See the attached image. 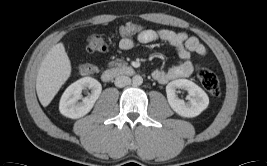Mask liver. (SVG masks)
<instances>
[{
	"instance_id": "obj_1",
	"label": "liver",
	"mask_w": 267,
	"mask_h": 166,
	"mask_svg": "<svg viewBox=\"0 0 267 166\" xmlns=\"http://www.w3.org/2000/svg\"><path fill=\"white\" fill-rule=\"evenodd\" d=\"M70 75L71 62L60 42L46 54L38 70L36 91L42 106L50 104Z\"/></svg>"
}]
</instances>
